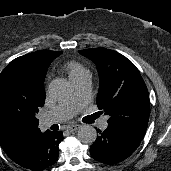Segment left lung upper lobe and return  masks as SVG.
I'll use <instances>...</instances> for the list:
<instances>
[{
    "instance_id": "1",
    "label": "left lung upper lobe",
    "mask_w": 171,
    "mask_h": 171,
    "mask_svg": "<svg viewBox=\"0 0 171 171\" xmlns=\"http://www.w3.org/2000/svg\"><path fill=\"white\" fill-rule=\"evenodd\" d=\"M79 53L97 67L96 102L109 115L108 125L143 138L149 120V95L136 66L125 56L106 48H90Z\"/></svg>"
}]
</instances>
